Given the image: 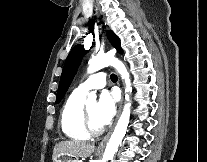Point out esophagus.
Here are the masks:
<instances>
[{
  "label": "esophagus",
  "instance_id": "34e87169",
  "mask_svg": "<svg viewBox=\"0 0 207 162\" xmlns=\"http://www.w3.org/2000/svg\"><path fill=\"white\" fill-rule=\"evenodd\" d=\"M123 101H124V93L122 91V97H121V101L119 104V108H118V112H117V119L119 118L120 114H121V110H122V106H123ZM111 135V131L104 137V139L100 142V144L98 145L97 151L98 152H102L109 140V137Z\"/></svg>",
  "mask_w": 207,
  "mask_h": 162
}]
</instances>
